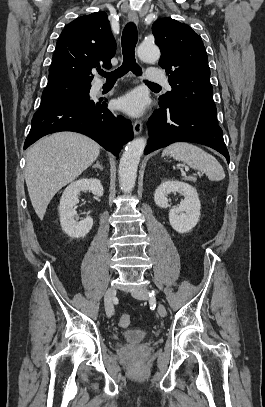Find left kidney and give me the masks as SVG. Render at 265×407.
Listing matches in <instances>:
<instances>
[{"label": "left kidney", "instance_id": "left-kidney-1", "mask_svg": "<svg viewBox=\"0 0 265 407\" xmlns=\"http://www.w3.org/2000/svg\"><path fill=\"white\" fill-rule=\"evenodd\" d=\"M171 192H179L185 198L177 208L170 209L169 222L178 233H187L192 230L199 221L201 204L197 191L191 185L177 181L167 180L161 183L155 191V204L161 208H167V196Z\"/></svg>", "mask_w": 265, "mask_h": 407}]
</instances>
